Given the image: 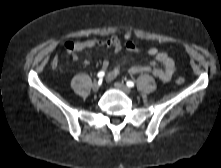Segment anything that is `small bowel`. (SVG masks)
<instances>
[{"instance_id":"small-bowel-1","label":"small bowel","mask_w":221,"mask_h":168,"mask_svg":"<svg viewBox=\"0 0 221 168\" xmlns=\"http://www.w3.org/2000/svg\"><path fill=\"white\" fill-rule=\"evenodd\" d=\"M100 44H105L112 47L115 53H119L123 49L121 41L117 36L110 37L104 43L95 39L66 42L65 48L70 54H72L74 59H77L78 56L76 53ZM124 47L130 53H138L141 51L140 46L133 41H126ZM147 53L148 55L152 56L154 60L149 65H133L129 68V72L131 74L150 72L153 76L163 82L170 81L176 70V65L173 58L170 57L166 52L160 51L156 47L149 48L147 50ZM83 63L88 64L89 61L87 59H84ZM157 64H160L162 67H158ZM121 65L122 64H118L111 68L110 62L108 60H104L102 62V71L104 72V74H106L107 80H113L120 74Z\"/></svg>"}]
</instances>
